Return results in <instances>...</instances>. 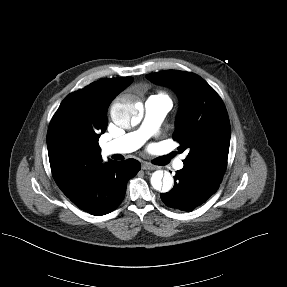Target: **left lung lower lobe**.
<instances>
[{
  "label": "left lung lower lobe",
  "mask_w": 287,
  "mask_h": 287,
  "mask_svg": "<svg viewBox=\"0 0 287 287\" xmlns=\"http://www.w3.org/2000/svg\"><path fill=\"white\" fill-rule=\"evenodd\" d=\"M174 187L160 194L161 200L174 209L191 212L216 192L220 183L207 177L199 169L184 164L174 176Z\"/></svg>",
  "instance_id": "1"
}]
</instances>
